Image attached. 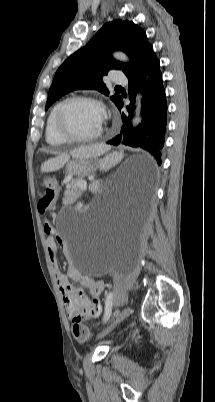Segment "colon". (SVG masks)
<instances>
[{
	"label": "colon",
	"instance_id": "1",
	"mask_svg": "<svg viewBox=\"0 0 215 402\" xmlns=\"http://www.w3.org/2000/svg\"><path fill=\"white\" fill-rule=\"evenodd\" d=\"M43 194L39 201V208L41 212H45L55 202L58 194V182L54 177H46L41 185ZM73 335L81 342L87 341L90 337L88 328L83 325L80 320H76L73 325Z\"/></svg>",
	"mask_w": 215,
	"mask_h": 402
}]
</instances>
